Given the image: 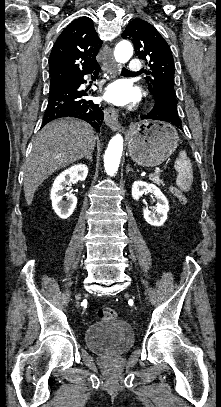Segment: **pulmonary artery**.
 <instances>
[{
    "mask_svg": "<svg viewBox=\"0 0 221 407\" xmlns=\"http://www.w3.org/2000/svg\"><path fill=\"white\" fill-rule=\"evenodd\" d=\"M141 69H142V64H141V62L139 60H132L129 63L130 72L138 74V73H141Z\"/></svg>",
    "mask_w": 221,
    "mask_h": 407,
    "instance_id": "1",
    "label": "pulmonary artery"
}]
</instances>
